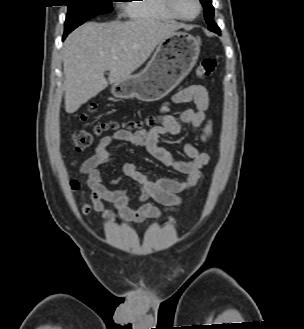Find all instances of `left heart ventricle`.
<instances>
[{"label":"left heart ventricle","instance_id":"obj_1","mask_svg":"<svg viewBox=\"0 0 304 329\" xmlns=\"http://www.w3.org/2000/svg\"><path fill=\"white\" fill-rule=\"evenodd\" d=\"M178 12L184 16L191 17L197 12L198 6L195 0H174Z\"/></svg>","mask_w":304,"mask_h":329}]
</instances>
